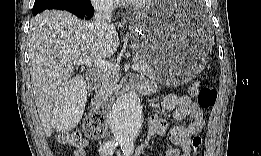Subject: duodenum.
I'll list each match as a JSON object with an SVG mask.
<instances>
[{"mask_svg": "<svg viewBox=\"0 0 261 156\" xmlns=\"http://www.w3.org/2000/svg\"><path fill=\"white\" fill-rule=\"evenodd\" d=\"M87 76H88V79L94 84L98 83L101 78L100 71L97 69H89L87 72ZM123 85L127 88L133 87V84L130 81L125 82ZM111 105H112V101H109V100L96 99L94 101V107L97 109L98 108L108 109L111 107Z\"/></svg>", "mask_w": 261, "mask_h": 156, "instance_id": "1", "label": "duodenum"}]
</instances>
